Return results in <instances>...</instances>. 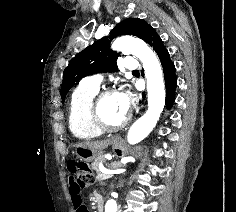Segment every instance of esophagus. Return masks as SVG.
Here are the masks:
<instances>
[{"label": "esophagus", "instance_id": "34e87169", "mask_svg": "<svg viewBox=\"0 0 236 212\" xmlns=\"http://www.w3.org/2000/svg\"><path fill=\"white\" fill-rule=\"evenodd\" d=\"M117 140H118V138H115V139H114V141H117Z\"/></svg>", "mask_w": 236, "mask_h": 212}]
</instances>
